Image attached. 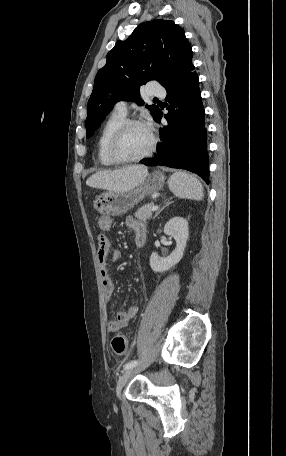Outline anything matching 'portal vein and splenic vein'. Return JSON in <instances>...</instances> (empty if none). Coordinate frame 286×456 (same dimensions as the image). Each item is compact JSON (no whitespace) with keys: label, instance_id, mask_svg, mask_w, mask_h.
<instances>
[{"label":"portal vein and splenic vein","instance_id":"1","mask_svg":"<svg viewBox=\"0 0 286 456\" xmlns=\"http://www.w3.org/2000/svg\"><path fill=\"white\" fill-rule=\"evenodd\" d=\"M156 210H158V206H153L152 211H156Z\"/></svg>","mask_w":286,"mask_h":456}]
</instances>
